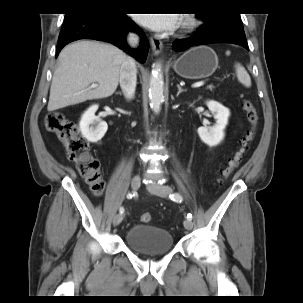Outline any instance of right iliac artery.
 Masks as SVG:
<instances>
[{
  "mask_svg": "<svg viewBox=\"0 0 303 303\" xmlns=\"http://www.w3.org/2000/svg\"><path fill=\"white\" fill-rule=\"evenodd\" d=\"M134 196V193H128L127 194V198L128 199H131L132 197ZM120 214H123L124 213V208L121 207L120 210H119Z\"/></svg>",
  "mask_w": 303,
  "mask_h": 303,
  "instance_id": "obj_1",
  "label": "right iliac artery"
}]
</instances>
